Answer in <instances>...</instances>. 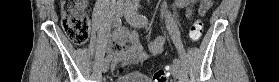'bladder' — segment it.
Masks as SVG:
<instances>
[{"instance_id":"obj_1","label":"bladder","mask_w":279,"mask_h":82,"mask_svg":"<svg viewBox=\"0 0 279 82\" xmlns=\"http://www.w3.org/2000/svg\"><path fill=\"white\" fill-rule=\"evenodd\" d=\"M115 82H153L148 76L142 73H127L117 78Z\"/></svg>"}]
</instances>
